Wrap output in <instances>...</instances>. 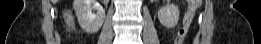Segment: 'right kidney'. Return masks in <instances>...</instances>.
<instances>
[{
    "label": "right kidney",
    "mask_w": 261,
    "mask_h": 44,
    "mask_svg": "<svg viewBox=\"0 0 261 44\" xmlns=\"http://www.w3.org/2000/svg\"><path fill=\"white\" fill-rule=\"evenodd\" d=\"M73 8L80 27L87 33L97 32L105 19V11L97 0H74Z\"/></svg>",
    "instance_id": "right-kidney-1"
}]
</instances>
